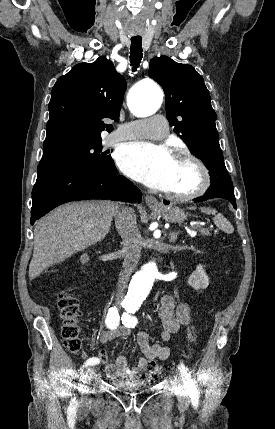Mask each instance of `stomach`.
<instances>
[{
	"label": "stomach",
	"mask_w": 275,
	"mask_h": 429,
	"mask_svg": "<svg viewBox=\"0 0 275 429\" xmlns=\"http://www.w3.org/2000/svg\"><path fill=\"white\" fill-rule=\"evenodd\" d=\"M152 210L161 215L165 221L171 223H181L186 217L183 210L173 205L160 206L157 208H152Z\"/></svg>",
	"instance_id": "0dacf381"
}]
</instances>
